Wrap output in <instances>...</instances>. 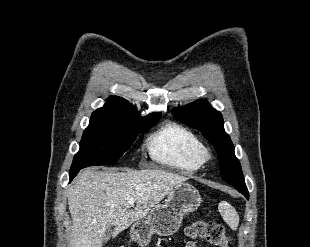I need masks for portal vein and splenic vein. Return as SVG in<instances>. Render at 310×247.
Wrapping results in <instances>:
<instances>
[{
    "mask_svg": "<svg viewBox=\"0 0 310 247\" xmlns=\"http://www.w3.org/2000/svg\"><path fill=\"white\" fill-rule=\"evenodd\" d=\"M134 202H135V199H134V198H129L127 204H128V205H133Z\"/></svg>",
    "mask_w": 310,
    "mask_h": 247,
    "instance_id": "portal-vein-and-splenic-vein-1",
    "label": "portal vein and splenic vein"
}]
</instances>
